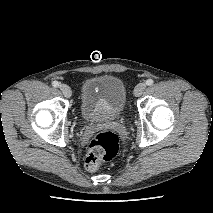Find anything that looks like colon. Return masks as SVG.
Masks as SVG:
<instances>
[{
	"label": "colon",
	"instance_id": "obj_1",
	"mask_svg": "<svg viewBox=\"0 0 213 213\" xmlns=\"http://www.w3.org/2000/svg\"><path fill=\"white\" fill-rule=\"evenodd\" d=\"M120 141L116 133L102 131L95 134L89 144V151L84 162L85 169L96 172L103 161H111L119 152Z\"/></svg>",
	"mask_w": 213,
	"mask_h": 213
}]
</instances>
